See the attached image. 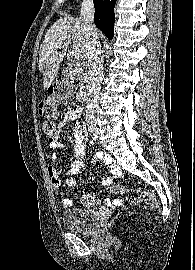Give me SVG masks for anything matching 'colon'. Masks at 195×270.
Segmentation results:
<instances>
[{
  "label": "colon",
  "mask_w": 195,
  "mask_h": 270,
  "mask_svg": "<svg viewBox=\"0 0 195 270\" xmlns=\"http://www.w3.org/2000/svg\"><path fill=\"white\" fill-rule=\"evenodd\" d=\"M76 85L77 82L75 80H66L62 84L54 85L51 93L40 102L38 112L45 119L42 128L46 134L52 135L54 133V120L59 116L60 103L70 97ZM118 190L121 193L125 192L131 203L145 201L150 207L157 206L156 199L150 194H142L136 189H125L124 187H119Z\"/></svg>",
  "instance_id": "obj_1"
}]
</instances>
